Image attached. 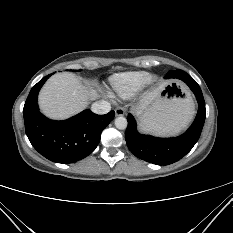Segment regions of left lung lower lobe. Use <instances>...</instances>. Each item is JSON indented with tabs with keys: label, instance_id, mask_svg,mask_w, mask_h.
I'll list each match as a JSON object with an SVG mask.
<instances>
[{
	"label": "left lung lower lobe",
	"instance_id": "obj_1",
	"mask_svg": "<svg viewBox=\"0 0 233 233\" xmlns=\"http://www.w3.org/2000/svg\"><path fill=\"white\" fill-rule=\"evenodd\" d=\"M184 81L196 96L198 113L190 128L182 135L174 138H158L143 135L137 131L136 121L128 114V126L125 139L129 150L138 158L156 165H169L184 157L198 141L205 117V101L196 81L182 70L169 71L166 76Z\"/></svg>",
	"mask_w": 233,
	"mask_h": 233
}]
</instances>
